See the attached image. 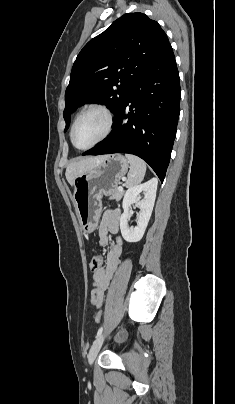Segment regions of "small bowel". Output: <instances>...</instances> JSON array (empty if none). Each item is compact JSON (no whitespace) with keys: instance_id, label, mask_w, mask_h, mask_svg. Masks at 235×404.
<instances>
[{"instance_id":"1","label":"small bowel","mask_w":235,"mask_h":404,"mask_svg":"<svg viewBox=\"0 0 235 404\" xmlns=\"http://www.w3.org/2000/svg\"><path fill=\"white\" fill-rule=\"evenodd\" d=\"M120 211L113 210L105 214L100 227V243L105 244L107 242L106 235L108 232L116 234L119 230ZM123 253V242L120 238H117L111 245L107 255L106 264L93 274L94 289L91 294V302L97 308L100 309L104 302L105 292L108 290L111 279L116 271L120 257Z\"/></svg>"}]
</instances>
